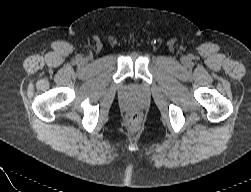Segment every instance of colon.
Returning a JSON list of instances; mask_svg holds the SVG:
<instances>
[{
    "label": "colon",
    "mask_w": 251,
    "mask_h": 192,
    "mask_svg": "<svg viewBox=\"0 0 251 192\" xmlns=\"http://www.w3.org/2000/svg\"><path fill=\"white\" fill-rule=\"evenodd\" d=\"M127 122L133 127L137 126L140 122V115L136 112L129 113L127 116Z\"/></svg>",
    "instance_id": "obj_1"
}]
</instances>
